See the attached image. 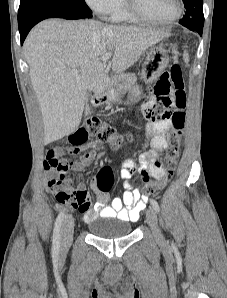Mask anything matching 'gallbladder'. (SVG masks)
Returning <instances> with one entry per match:
<instances>
[{
    "mask_svg": "<svg viewBox=\"0 0 227 298\" xmlns=\"http://www.w3.org/2000/svg\"><path fill=\"white\" fill-rule=\"evenodd\" d=\"M87 97H88V95H87ZM92 110H93L92 106H89V105L86 103V111H85V114H86V115L91 114V113H92Z\"/></svg>",
    "mask_w": 227,
    "mask_h": 298,
    "instance_id": "bac80fb5",
    "label": "gallbladder"
}]
</instances>
